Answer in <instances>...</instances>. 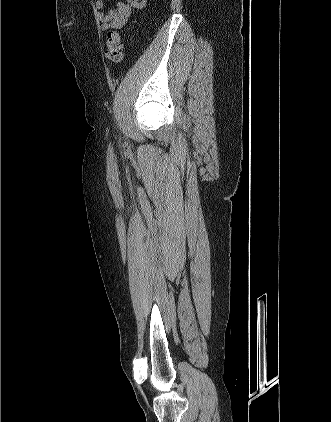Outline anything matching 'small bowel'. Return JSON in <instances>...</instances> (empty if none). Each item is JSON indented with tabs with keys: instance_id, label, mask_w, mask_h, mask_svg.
Wrapping results in <instances>:
<instances>
[{
	"instance_id": "c3829d8e",
	"label": "small bowel",
	"mask_w": 331,
	"mask_h": 422,
	"mask_svg": "<svg viewBox=\"0 0 331 422\" xmlns=\"http://www.w3.org/2000/svg\"><path fill=\"white\" fill-rule=\"evenodd\" d=\"M148 0H124L118 2L114 8L105 10L104 0H96L97 18L103 31L123 27L128 19L143 9Z\"/></svg>"
}]
</instances>
